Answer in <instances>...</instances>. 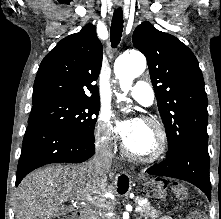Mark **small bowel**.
Returning a JSON list of instances; mask_svg holds the SVG:
<instances>
[{
  "instance_id": "obj_1",
  "label": "small bowel",
  "mask_w": 221,
  "mask_h": 219,
  "mask_svg": "<svg viewBox=\"0 0 221 219\" xmlns=\"http://www.w3.org/2000/svg\"><path fill=\"white\" fill-rule=\"evenodd\" d=\"M160 219H170L169 217H163V218H160Z\"/></svg>"
}]
</instances>
